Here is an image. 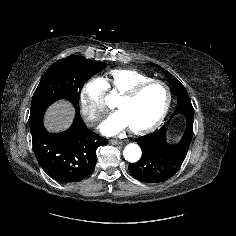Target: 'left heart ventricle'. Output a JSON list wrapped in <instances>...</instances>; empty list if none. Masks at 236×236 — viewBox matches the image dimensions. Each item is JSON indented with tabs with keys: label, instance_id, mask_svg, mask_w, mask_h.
Returning <instances> with one entry per match:
<instances>
[{
	"label": "left heart ventricle",
	"instance_id": "b2bd125f",
	"mask_svg": "<svg viewBox=\"0 0 236 236\" xmlns=\"http://www.w3.org/2000/svg\"><path fill=\"white\" fill-rule=\"evenodd\" d=\"M167 101L166 89L159 84L146 88L136 99L130 102L116 103L126 117L129 127L142 128L154 122Z\"/></svg>",
	"mask_w": 236,
	"mask_h": 236
}]
</instances>
